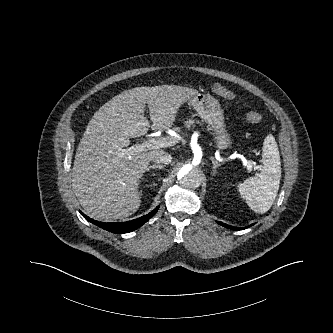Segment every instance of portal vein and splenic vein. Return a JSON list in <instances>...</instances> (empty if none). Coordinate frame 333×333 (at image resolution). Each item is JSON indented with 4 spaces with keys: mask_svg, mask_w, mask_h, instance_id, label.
<instances>
[{
    "mask_svg": "<svg viewBox=\"0 0 333 333\" xmlns=\"http://www.w3.org/2000/svg\"><path fill=\"white\" fill-rule=\"evenodd\" d=\"M173 143H175V140L172 137L151 138L148 141H145L141 144H136L132 146L131 149L134 152L140 153L148 150H155V149L169 147ZM246 167L248 172L251 174L253 170V165L251 164V162L246 160Z\"/></svg>",
    "mask_w": 333,
    "mask_h": 333,
    "instance_id": "18ae733b",
    "label": "portal vein and splenic vein"
}]
</instances>
